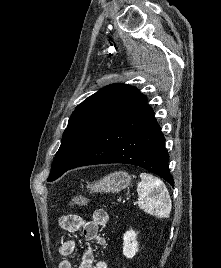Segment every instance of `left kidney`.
Wrapping results in <instances>:
<instances>
[{
    "mask_svg": "<svg viewBox=\"0 0 221 268\" xmlns=\"http://www.w3.org/2000/svg\"><path fill=\"white\" fill-rule=\"evenodd\" d=\"M137 233L133 230L126 231L123 236V254L127 258H133L138 251Z\"/></svg>",
    "mask_w": 221,
    "mask_h": 268,
    "instance_id": "5707ae66",
    "label": "left kidney"
}]
</instances>
